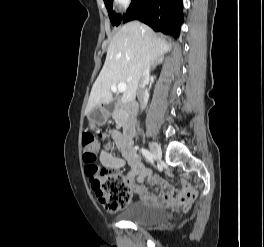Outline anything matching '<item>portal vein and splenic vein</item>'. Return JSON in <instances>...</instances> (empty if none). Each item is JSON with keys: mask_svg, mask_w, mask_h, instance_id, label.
Returning a JSON list of instances; mask_svg holds the SVG:
<instances>
[{"mask_svg": "<svg viewBox=\"0 0 264 247\" xmlns=\"http://www.w3.org/2000/svg\"><path fill=\"white\" fill-rule=\"evenodd\" d=\"M126 89H127V85L125 83H119L118 85L111 86V91L114 93L116 92L124 93Z\"/></svg>", "mask_w": 264, "mask_h": 247, "instance_id": "obj_1", "label": "portal vein and splenic vein"}]
</instances>
